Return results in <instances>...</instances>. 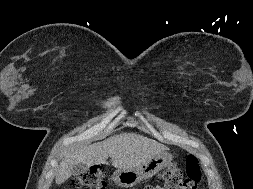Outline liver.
Returning <instances> with one entry per match:
<instances>
[{
    "label": "liver",
    "instance_id": "1",
    "mask_svg": "<svg viewBox=\"0 0 253 189\" xmlns=\"http://www.w3.org/2000/svg\"><path fill=\"white\" fill-rule=\"evenodd\" d=\"M168 148L147 137L135 133L114 135L101 142L65 150L58 166L55 182L61 185L68 180L75 165L107 164L108 157L118 169H132L151 160Z\"/></svg>",
    "mask_w": 253,
    "mask_h": 189
}]
</instances>
